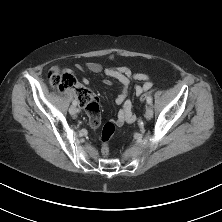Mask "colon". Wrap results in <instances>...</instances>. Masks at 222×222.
Returning <instances> with one entry per match:
<instances>
[{
	"instance_id": "obj_1",
	"label": "colon",
	"mask_w": 222,
	"mask_h": 222,
	"mask_svg": "<svg viewBox=\"0 0 222 222\" xmlns=\"http://www.w3.org/2000/svg\"><path fill=\"white\" fill-rule=\"evenodd\" d=\"M49 82L52 88L56 90H65L68 88H74L77 92V97L80 103L85 107L88 113L98 112L99 102L98 98L94 93L88 89L79 86L74 78V76L68 72H60L56 69H51L48 73ZM157 87L147 91L146 94L141 95V101L147 102L148 96L155 92ZM115 132V125L112 122H107L104 124L101 132V142H102V153L104 156L108 155L109 147L108 141L113 136Z\"/></svg>"
}]
</instances>
